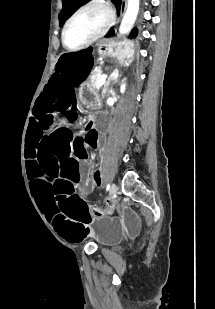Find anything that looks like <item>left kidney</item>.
Here are the masks:
<instances>
[{
  "label": "left kidney",
  "instance_id": "5707ae66",
  "mask_svg": "<svg viewBox=\"0 0 215 309\" xmlns=\"http://www.w3.org/2000/svg\"><path fill=\"white\" fill-rule=\"evenodd\" d=\"M120 92H125V84H121V86H120Z\"/></svg>",
  "mask_w": 215,
  "mask_h": 309
}]
</instances>
